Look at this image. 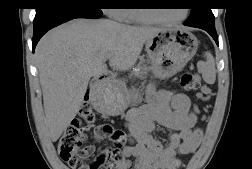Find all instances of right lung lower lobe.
Returning a JSON list of instances; mask_svg holds the SVG:
<instances>
[{
    "instance_id": "obj_1",
    "label": "right lung lower lobe",
    "mask_w": 252,
    "mask_h": 169,
    "mask_svg": "<svg viewBox=\"0 0 252 169\" xmlns=\"http://www.w3.org/2000/svg\"><path fill=\"white\" fill-rule=\"evenodd\" d=\"M65 1L69 0H57V2ZM101 16L102 14L93 13L76 7H61L36 15L33 21V52L40 38L51 28L75 18L98 19Z\"/></svg>"
}]
</instances>
